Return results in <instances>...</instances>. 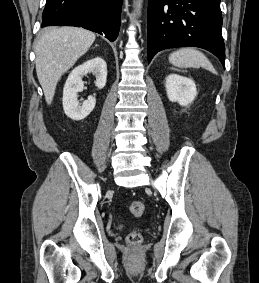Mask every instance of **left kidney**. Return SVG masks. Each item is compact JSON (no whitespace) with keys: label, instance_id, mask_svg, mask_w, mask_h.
Masks as SVG:
<instances>
[{"label":"left kidney","instance_id":"left-kidney-1","mask_svg":"<svg viewBox=\"0 0 259 283\" xmlns=\"http://www.w3.org/2000/svg\"><path fill=\"white\" fill-rule=\"evenodd\" d=\"M165 87L168 99L178 102L181 106L191 104L197 95L194 81L177 74H170L166 78Z\"/></svg>","mask_w":259,"mask_h":283}]
</instances>
